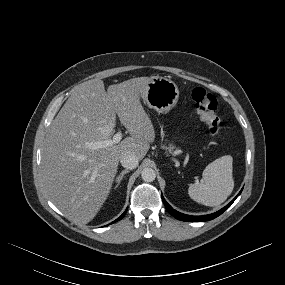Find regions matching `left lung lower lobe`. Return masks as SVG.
<instances>
[{"instance_id": "obj_1", "label": "left lung lower lobe", "mask_w": 285, "mask_h": 285, "mask_svg": "<svg viewBox=\"0 0 285 285\" xmlns=\"http://www.w3.org/2000/svg\"><path fill=\"white\" fill-rule=\"evenodd\" d=\"M242 192V190L239 192V194L225 207H223L221 210L209 214V215H203V216H191V215H186V214H182L176 210H174L167 202L166 200L163 198L162 196V200L163 203L167 209V211L173 215L176 219L178 220H182V221H189V222H202V221H208V220H212L216 217H218L219 215H221L228 207L231 206V204L235 201V199L240 195V193Z\"/></svg>"}]
</instances>
